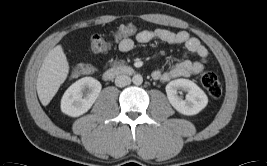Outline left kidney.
<instances>
[{
    "label": "left kidney",
    "instance_id": "5707ae66",
    "mask_svg": "<svg viewBox=\"0 0 267 166\" xmlns=\"http://www.w3.org/2000/svg\"><path fill=\"white\" fill-rule=\"evenodd\" d=\"M179 89L187 92L185 100L177 93ZM166 93L171 105L183 115H196L208 104V97L193 81L176 79L166 85Z\"/></svg>",
    "mask_w": 267,
    "mask_h": 166
}]
</instances>
